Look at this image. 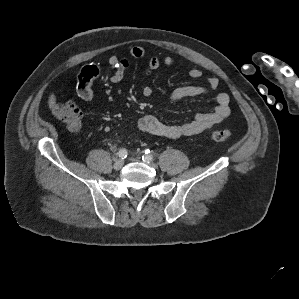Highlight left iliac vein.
<instances>
[{"label":"left iliac vein","mask_w":299,"mask_h":299,"mask_svg":"<svg viewBox=\"0 0 299 299\" xmlns=\"http://www.w3.org/2000/svg\"><path fill=\"white\" fill-rule=\"evenodd\" d=\"M133 161H139V159H132ZM152 167H156V165L152 162H149Z\"/></svg>","instance_id":"obj_1"}]
</instances>
